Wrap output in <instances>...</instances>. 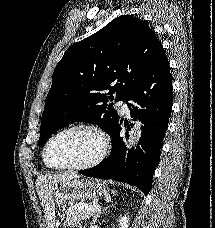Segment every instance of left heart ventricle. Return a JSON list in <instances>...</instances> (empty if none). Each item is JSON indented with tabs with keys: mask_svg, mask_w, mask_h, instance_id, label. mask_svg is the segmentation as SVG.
Returning <instances> with one entry per match:
<instances>
[{
	"mask_svg": "<svg viewBox=\"0 0 215 228\" xmlns=\"http://www.w3.org/2000/svg\"><path fill=\"white\" fill-rule=\"evenodd\" d=\"M100 147L101 142L96 133L75 129L59 135L51 143L47 160L55 167L82 164L92 159Z\"/></svg>",
	"mask_w": 215,
	"mask_h": 228,
	"instance_id": "1",
	"label": "left heart ventricle"
}]
</instances>
